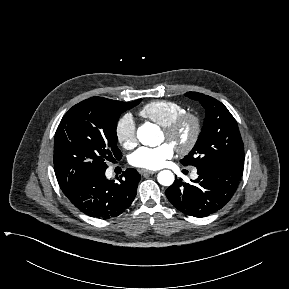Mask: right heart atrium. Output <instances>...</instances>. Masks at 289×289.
Returning a JSON list of instances; mask_svg holds the SVG:
<instances>
[{
    "label": "right heart atrium",
    "mask_w": 289,
    "mask_h": 289,
    "mask_svg": "<svg viewBox=\"0 0 289 289\" xmlns=\"http://www.w3.org/2000/svg\"><path fill=\"white\" fill-rule=\"evenodd\" d=\"M115 135L118 143L126 149H131L136 145V124L131 114H124L118 119Z\"/></svg>",
    "instance_id": "d8ad5b80"
}]
</instances>
